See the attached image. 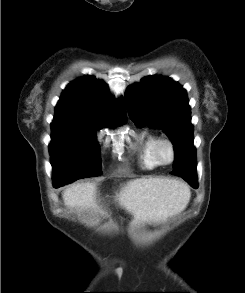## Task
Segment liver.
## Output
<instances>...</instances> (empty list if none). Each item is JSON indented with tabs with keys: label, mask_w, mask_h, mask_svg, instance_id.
Instances as JSON below:
<instances>
[{
	"label": "liver",
	"mask_w": 245,
	"mask_h": 293,
	"mask_svg": "<svg viewBox=\"0 0 245 293\" xmlns=\"http://www.w3.org/2000/svg\"><path fill=\"white\" fill-rule=\"evenodd\" d=\"M70 208H95L97 186L95 183H77L63 193ZM118 204L134 216V223L165 221L182 212L189 200L186 185L169 178H140L128 181L116 195Z\"/></svg>",
	"instance_id": "1"
}]
</instances>
